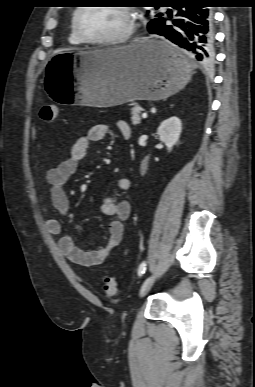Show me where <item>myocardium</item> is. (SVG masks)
<instances>
[{"mask_svg":"<svg viewBox=\"0 0 255 387\" xmlns=\"http://www.w3.org/2000/svg\"><path fill=\"white\" fill-rule=\"evenodd\" d=\"M87 7L89 6H85V5L79 6L74 11L73 17H72L73 31L75 35L79 38V40H81L83 43L90 44V45H100V46L118 45V44H123L127 42L133 36L136 28V15L130 7L123 6V5L114 6L118 8L125 15L127 20V26L121 34L115 37L105 38V39H93L86 36L79 26L78 18L80 13Z\"/></svg>","mask_w":255,"mask_h":387,"instance_id":"1","label":"myocardium"}]
</instances>
